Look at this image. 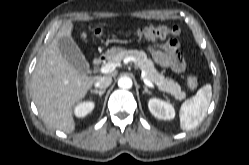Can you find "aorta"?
<instances>
[{"mask_svg": "<svg viewBox=\"0 0 249 165\" xmlns=\"http://www.w3.org/2000/svg\"><path fill=\"white\" fill-rule=\"evenodd\" d=\"M132 84V79L128 76H121L118 79V87L121 89H130Z\"/></svg>", "mask_w": 249, "mask_h": 165, "instance_id": "762f6f07", "label": "aorta"}]
</instances>
